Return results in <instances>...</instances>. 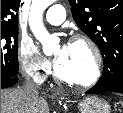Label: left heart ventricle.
Instances as JSON below:
<instances>
[{
    "mask_svg": "<svg viewBox=\"0 0 123 113\" xmlns=\"http://www.w3.org/2000/svg\"><path fill=\"white\" fill-rule=\"evenodd\" d=\"M59 49H56V54ZM57 67L64 77L77 81L86 80L93 70L92 54L83 43L69 44L63 59L57 63Z\"/></svg>",
    "mask_w": 123,
    "mask_h": 113,
    "instance_id": "b2bd125f",
    "label": "left heart ventricle"
}]
</instances>
